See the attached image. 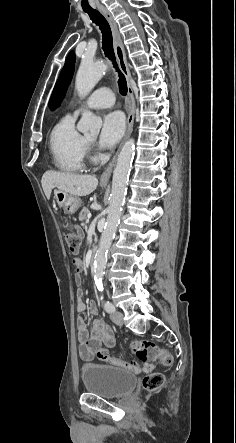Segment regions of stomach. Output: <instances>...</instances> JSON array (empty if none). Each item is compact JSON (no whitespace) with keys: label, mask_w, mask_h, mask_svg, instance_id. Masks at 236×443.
<instances>
[{"label":"stomach","mask_w":236,"mask_h":443,"mask_svg":"<svg viewBox=\"0 0 236 443\" xmlns=\"http://www.w3.org/2000/svg\"><path fill=\"white\" fill-rule=\"evenodd\" d=\"M54 198L66 214H74L81 206V199L62 190L54 191Z\"/></svg>","instance_id":"0dacf381"}]
</instances>
